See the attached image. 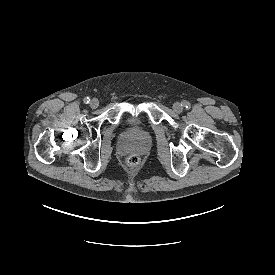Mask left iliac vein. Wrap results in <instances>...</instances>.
<instances>
[{"instance_id": "1", "label": "left iliac vein", "mask_w": 275, "mask_h": 275, "mask_svg": "<svg viewBox=\"0 0 275 275\" xmlns=\"http://www.w3.org/2000/svg\"><path fill=\"white\" fill-rule=\"evenodd\" d=\"M173 110L177 113H181L183 111V107H182L181 103L175 102L173 104Z\"/></svg>"}]
</instances>
